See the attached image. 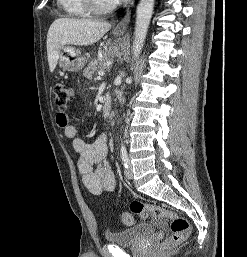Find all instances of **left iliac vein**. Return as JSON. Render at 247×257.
<instances>
[{
  "label": "left iliac vein",
  "instance_id": "obj_1",
  "mask_svg": "<svg viewBox=\"0 0 247 257\" xmlns=\"http://www.w3.org/2000/svg\"><path fill=\"white\" fill-rule=\"evenodd\" d=\"M124 174L127 179L133 178V167L131 164H129L128 167L125 169Z\"/></svg>",
  "mask_w": 247,
  "mask_h": 257
}]
</instances>
